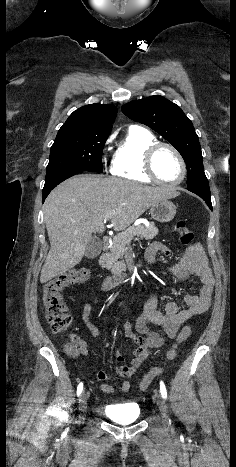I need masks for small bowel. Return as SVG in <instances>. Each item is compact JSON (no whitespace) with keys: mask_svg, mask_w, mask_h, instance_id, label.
<instances>
[{"mask_svg":"<svg viewBox=\"0 0 236 467\" xmlns=\"http://www.w3.org/2000/svg\"><path fill=\"white\" fill-rule=\"evenodd\" d=\"M159 252L166 255L170 254L169 249L163 243H151L145 250V262L153 266ZM165 273L175 281H182L190 276L197 277L201 283L199 292L197 294H187L181 303L174 301L167 302L163 311L157 307L156 296L153 293L148 295L143 311L134 323L136 330L142 335L139 336L133 332L131 323L124 325L125 336L135 343L136 348L133 350V357L129 364L125 363L122 354L117 353L115 356L116 360L121 363L116 368V373L122 378L132 377L147 358L149 349L161 347L165 342V336L174 339L179 328L186 321L193 316L206 312L210 307L214 279L208 266L207 258L198 245L186 248L182 253L180 261L166 268ZM96 303H98V299L94 300L93 303L84 304L81 319L90 334L95 338H100V331L91 320L92 306ZM97 379L101 382L107 381V372L99 370L97 372ZM118 387L120 390L127 392L131 385L129 381H123ZM100 389L106 393L114 392V387L108 384H101Z\"/></svg>","mask_w":236,"mask_h":467,"instance_id":"small-bowel-1","label":"small bowel"}]
</instances>
